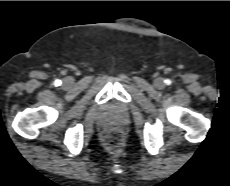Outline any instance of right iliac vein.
I'll return each mask as SVG.
<instances>
[{"label":"right iliac vein","instance_id":"right-iliac-vein-1","mask_svg":"<svg viewBox=\"0 0 230 186\" xmlns=\"http://www.w3.org/2000/svg\"><path fill=\"white\" fill-rule=\"evenodd\" d=\"M72 83H73L72 78H66V79L63 81V84H64L65 86H69V85H71Z\"/></svg>","mask_w":230,"mask_h":186}]
</instances>
